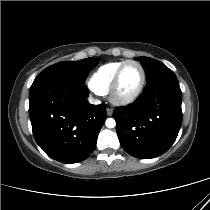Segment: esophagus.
I'll return each mask as SVG.
<instances>
[{"label":"esophagus","mask_w":210,"mask_h":210,"mask_svg":"<svg viewBox=\"0 0 210 210\" xmlns=\"http://www.w3.org/2000/svg\"><path fill=\"white\" fill-rule=\"evenodd\" d=\"M106 112H107L108 116H112L113 115V109H111L109 107L106 109Z\"/></svg>","instance_id":"esophagus-1"}]
</instances>
